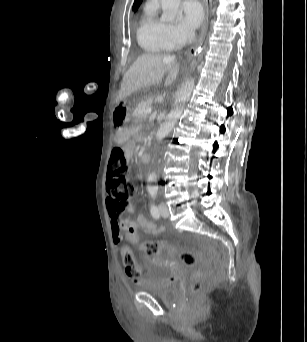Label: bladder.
<instances>
[{"label":"bladder","mask_w":307,"mask_h":342,"mask_svg":"<svg viewBox=\"0 0 307 342\" xmlns=\"http://www.w3.org/2000/svg\"><path fill=\"white\" fill-rule=\"evenodd\" d=\"M141 291L168 300L175 291V284L171 281L166 270L155 266L148 270L138 283Z\"/></svg>","instance_id":"31cf9c89"}]
</instances>
